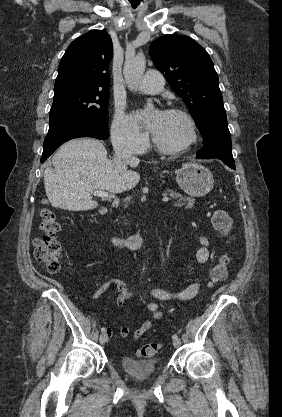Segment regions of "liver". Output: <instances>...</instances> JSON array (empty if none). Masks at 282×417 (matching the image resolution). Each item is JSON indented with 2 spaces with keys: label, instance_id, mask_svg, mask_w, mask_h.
<instances>
[{
  "label": "liver",
  "instance_id": "6515ba94",
  "mask_svg": "<svg viewBox=\"0 0 282 417\" xmlns=\"http://www.w3.org/2000/svg\"><path fill=\"white\" fill-rule=\"evenodd\" d=\"M54 168H45L46 194L56 209L91 211L98 202L92 190L124 192L134 188L140 174L127 170L125 162L107 158V150L96 138H73L60 146L52 158ZM139 164L138 158L129 162Z\"/></svg>",
  "mask_w": 282,
  "mask_h": 417
}]
</instances>
